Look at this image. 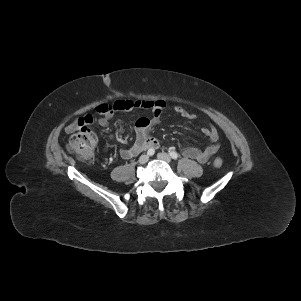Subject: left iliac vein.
Listing matches in <instances>:
<instances>
[{
	"instance_id": "obj_1",
	"label": "left iliac vein",
	"mask_w": 301,
	"mask_h": 301,
	"mask_svg": "<svg viewBox=\"0 0 301 301\" xmlns=\"http://www.w3.org/2000/svg\"><path fill=\"white\" fill-rule=\"evenodd\" d=\"M157 157L162 160V161H165L167 163H170L171 162V158L170 156L167 154V153H158L157 154Z\"/></svg>"
}]
</instances>
